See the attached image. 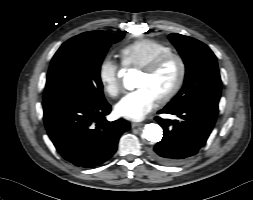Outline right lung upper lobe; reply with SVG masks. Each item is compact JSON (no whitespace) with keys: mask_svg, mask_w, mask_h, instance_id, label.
I'll use <instances>...</instances> for the list:
<instances>
[{"mask_svg":"<svg viewBox=\"0 0 253 200\" xmlns=\"http://www.w3.org/2000/svg\"><path fill=\"white\" fill-rule=\"evenodd\" d=\"M84 34L91 35V36H96V37H105L111 33L105 32V31H90V32H85Z\"/></svg>","mask_w":253,"mask_h":200,"instance_id":"cb5924a9","label":"right lung upper lobe"}]
</instances>
